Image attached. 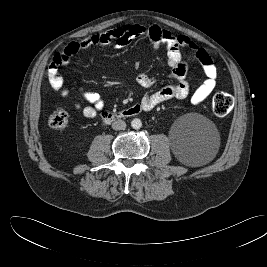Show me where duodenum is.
I'll return each instance as SVG.
<instances>
[{
    "mask_svg": "<svg viewBox=\"0 0 267 267\" xmlns=\"http://www.w3.org/2000/svg\"><path fill=\"white\" fill-rule=\"evenodd\" d=\"M142 111L139 105H133L119 111H107L102 114V118L106 121H113L138 115Z\"/></svg>",
    "mask_w": 267,
    "mask_h": 267,
    "instance_id": "duodenum-1",
    "label": "duodenum"
}]
</instances>
